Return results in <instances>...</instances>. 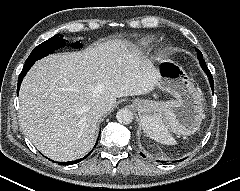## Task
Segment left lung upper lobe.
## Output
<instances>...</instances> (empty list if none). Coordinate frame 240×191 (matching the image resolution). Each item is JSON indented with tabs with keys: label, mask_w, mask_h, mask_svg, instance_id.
Masks as SVG:
<instances>
[{
	"label": "left lung upper lobe",
	"mask_w": 240,
	"mask_h": 191,
	"mask_svg": "<svg viewBox=\"0 0 240 191\" xmlns=\"http://www.w3.org/2000/svg\"><path fill=\"white\" fill-rule=\"evenodd\" d=\"M196 50H197L198 59L203 58L202 53L200 52V50H198V49H196Z\"/></svg>",
	"instance_id": "1"
}]
</instances>
